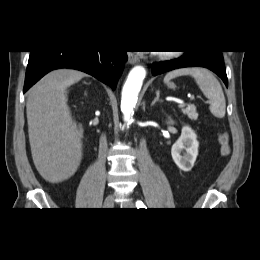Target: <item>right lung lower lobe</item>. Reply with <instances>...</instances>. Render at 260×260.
I'll use <instances>...</instances> for the list:
<instances>
[{"label": "right lung lower lobe", "mask_w": 260, "mask_h": 260, "mask_svg": "<svg viewBox=\"0 0 260 260\" xmlns=\"http://www.w3.org/2000/svg\"><path fill=\"white\" fill-rule=\"evenodd\" d=\"M126 60V51H31L23 93L45 74L58 68L86 72L115 89Z\"/></svg>", "instance_id": "right-lung-lower-lobe-1"}]
</instances>
